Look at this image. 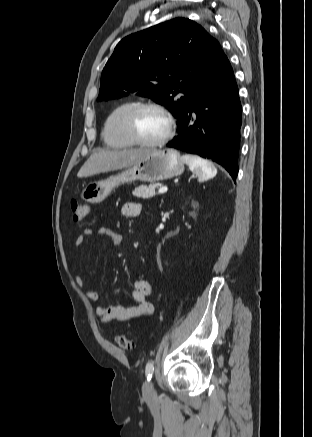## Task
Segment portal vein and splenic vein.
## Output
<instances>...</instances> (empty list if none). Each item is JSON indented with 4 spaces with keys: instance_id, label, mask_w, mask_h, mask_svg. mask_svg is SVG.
Wrapping results in <instances>:
<instances>
[{
    "instance_id": "portal-vein-and-splenic-vein-1",
    "label": "portal vein and splenic vein",
    "mask_w": 312,
    "mask_h": 437,
    "mask_svg": "<svg viewBox=\"0 0 312 437\" xmlns=\"http://www.w3.org/2000/svg\"><path fill=\"white\" fill-rule=\"evenodd\" d=\"M167 190H168V188L167 187H161L160 189H159V193L160 194H162V193H165V192H167Z\"/></svg>"
}]
</instances>
